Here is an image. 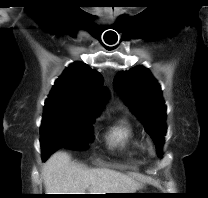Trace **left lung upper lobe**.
<instances>
[{"mask_svg":"<svg viewBox=\"0 0 208 198\" xmlns=\"http://www.w3.org/2000/svg\"><path fill=\"white\" fill-rule=\"evenodd\" d=\"M115 85L151 136L159 157L166 134V106L161 87L148 69L137 66L115 76Z\"/></svg>","mask_w":208,"mask_h":198,"instance_id":"left-lung-upper-lobe-1","label":"left lung upper lobe"}]
</instances>
